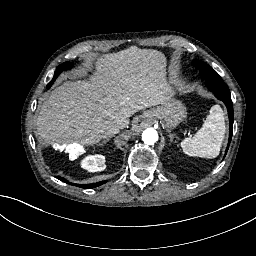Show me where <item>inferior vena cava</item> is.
Instances as JSON below:
<instances>
[{"label": "inferior vena cava", "mask_w": 256, "mask_h": 256, "mask_svg": "<svg viewBox=\"0 0 256 256\" xmlns=\"http://www.w3.org/2000/svg\"><path fill=\"white\" fill-rule=\"evenodd\" d=\"M123 127H124V126H115V127L111 128V129L109 130V133H108L107 135H104L103 138H107V137H109V136H111V135L116 134V132H117L118 130L123 129Z\"/></svg>", "instance_id": "602c4592"}]
</instances>
